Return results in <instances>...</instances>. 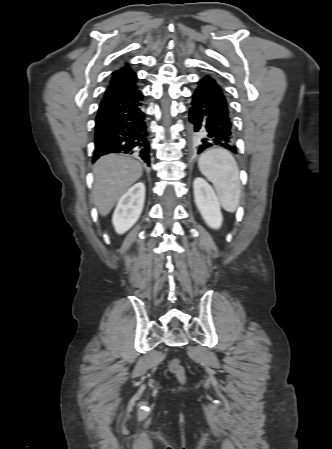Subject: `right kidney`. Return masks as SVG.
Returning a JSON list of instances; mask_svg holds the SVG:
<instances>
[{"mask_svg": "<svg viewBox=\"0 0 332 449\" xmlns=\"http://www.w3.org/2000/svg\"><path fill=\"white\" fill-rule=\"evenodd\" d=\"M145 201V185L142 182L133 185L124 193L116 206L112 223L118 234L128 231L139 219Z\"/></svg>", "mask_w": 332, "mask_h": 449, "instance_id": "1", "label": "right kidney"}]
</instances>
